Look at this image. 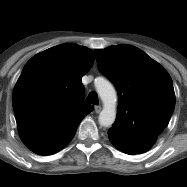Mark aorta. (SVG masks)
I'll return each mask as SVG.
<instances>
[{"label":"aorta","instance_id":"aorta-1","mask_svg":"<svg viewBox=\"0 0 187 187\" xmlns=\"http://www.w3.org/2000/svg\"><path fill=\"white\" fill-rule=\"evenodd\" d=\"M96 90L103 102V109L99 115V123L102 126H111L116 118L117 95L112 84L104 78L95 80Z\"/></svg>","mask_w":187,"mask_h":187}]
</instances>
